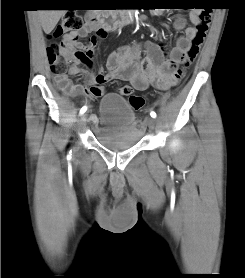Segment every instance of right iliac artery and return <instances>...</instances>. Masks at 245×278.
<instances>
[{
    "label": "right iliac artery",
    "instance_id": "obj_1",
    "mask_svg": "<svg viewBox=\"0 0 245 278\" xmlns=\"http://www.w3.org/2000/svg\"><path fill=\"white\" fill-rule=\"evenodd\" d=\"M86 110H87V107H86V106L82 107V108H81V110H80V114L85 113V112H86Z\"/></svg>",
    "mask_w": 245,
    "mask_h": 278
}]
</instances>
